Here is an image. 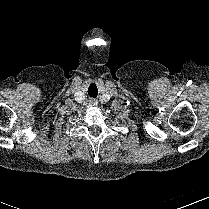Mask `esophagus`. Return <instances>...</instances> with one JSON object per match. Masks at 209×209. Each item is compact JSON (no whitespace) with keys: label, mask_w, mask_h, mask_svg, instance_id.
I'll list each match as a JSON object with an SVG mask.
<instances>
[{"label":"esophagus","mask_w":209,"mask_h":209,"mask_svg":"<svg viewBox=\"0 0 209 209\" xmlns=\"http://www.w3.org/2000/svg\"><path fill=\"white\" fill-rule=\"evenodd\" d=\"M90 103L91 104H95V100H90Z\"/></svg>","instance_id":"obj_1"}]
</instances>
